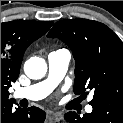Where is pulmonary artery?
<instances>
[{
  "label": "pulmonary artery",
  "instance_id": "obj_1",
  "mask_svg": "<svg viewBox=\"0 0 123 123\" xmlns=\"http://www.w3.org/2000/svg\"><path fill=\"white\" fill-rule=\"evenodd\" d=\"M71 59L70 52L66 49L53 51L48 56V76L45 80L26 88L15 91L16 98L31 101L41 100L48 96L63 79ZM86 112L91 113L92 107L87 106Z\"/></svg>",
  "mask_w": 123,
  "mask_h": 123
}]
</instances>
